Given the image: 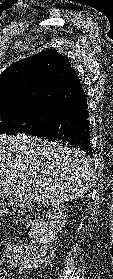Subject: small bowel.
I'll return each instance as SVG.
<instances>
[{
    "instance_id": "c3829d8e",
    "label": "small bowel",
    "mask_w": 113,
    "mask_h": 279,
    "mask_svg": "<svg viewBox=\"0 0 113 279\" xmlns=\"http://www.w3.org/2000/svg\"><path fill=\"white\" fill-rule=\"evenodd\" d=\"M0 275H1V276H0V279H4V278H3L4 273H1Z\"/></svg>"
}]
</instances>
